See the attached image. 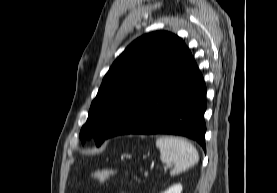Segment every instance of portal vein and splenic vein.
Instances as JSON below:
<instances>
[{"label": "portal vein and splenic vein", "instance_id": "1", "mask_svg": "<svg viewBox=\"0 0 277 193\" xmlns=\"http://www.w3.org/2000/svg\"><path fill=\"white\" fill-rule=\"evenodd\" d=\"M171 167V164H167L166 166H164V170H167Z\"/></svg>", "mask_w": 277, "mask_h": 193}]
</instances>
